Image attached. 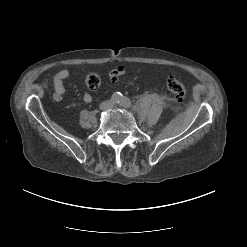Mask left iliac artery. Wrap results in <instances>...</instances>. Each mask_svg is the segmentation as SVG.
I'll return each instance as SVG.
<instances>
[{"instance_id":"obj_1","label":"left iliac artery","mask_w":247,"mask_h":247,"mask_svg":"<svg viewBox=\"0 0 247 247\" xmlns=\"http://www.w3.org/2000/svg\"><path fill=\"white\" fill-rule=\"evenodd\" d=\"M120 105L125 107V108H129L131 107V101L129 98L125 97V96H121V99H120Z\"/></svg>"}]
</instances>
